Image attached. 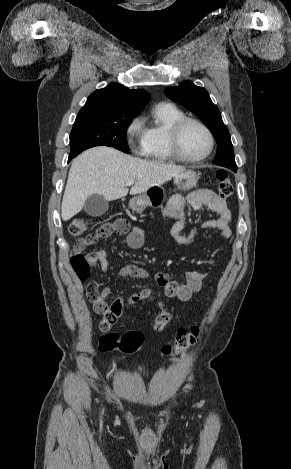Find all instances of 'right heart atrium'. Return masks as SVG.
Returning <instances> with one entry per match:
<instances>
[{"label":"right heart atrium","instance_id":"right-heart-atrium-1","mask_svg":"<svg viewBox=\"0 0 291 469\" xmlns=\"http://www.w3.org/2000/svg\"><path fill=\"white\" fill-rule=\"evenodd\" d=\"M144 126L141 117L137 116L127 125L126 140L135 151H141L144 140Z\"/></svg>","mask_w":291,"mask_h":469}]
</instances>
